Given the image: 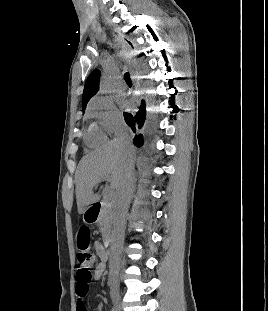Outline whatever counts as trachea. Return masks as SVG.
Wrapping results in <instances>:
<instances>
[{"instance_id":"3493384b","label":"trachea","mask_w":268,"mask_h":311,"mask_svg":"<svg viewBox=\"0 0 268 311\" xmlns=\"http://www.w3.org/2000/svg\"><path fill=\"white\" fill-rule=\"evenodd\" d=\"M124 80H125L127 83H132L129 73H125V74H124Z\"/></svg>"}]
</instances>
